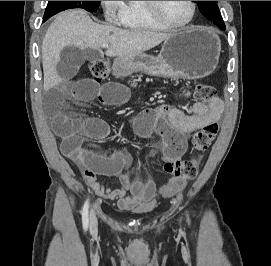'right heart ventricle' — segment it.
Returning a JSON list of instances; mask_svg holds the SVG:
<instances>
[{
	"instance_id": "1",
	"label": "right heart ventricle",
	"mask_w": 271,
	"mask_h": 266,
	"mask_svg": "<svg viewBox=\"0 0 271 266\" xmlns=\"http://www.w3.org/2000/svg\"><path fill=\"white\" fill-rule=\"evenodd\" d=\"M123 26L140 31H162L166 28L154 21L144 8L143 1H130L125 4L121 15Z\"/></svg>"
}]
</instances>
